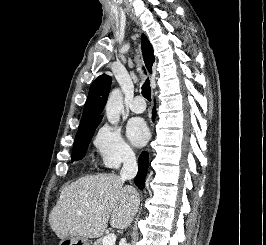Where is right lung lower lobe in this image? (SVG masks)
I'll list each match as a JSON object with an SVG mask.
<instances>
[{
  "instance_id": "right-lung-lower-lobe-1",
  "label": "right lung lower lobe",
  "mask_w": 266,
  "mask_h": 245,
  "mask_svg": "<svg viewBox=\"0 0 266 245\" xmlns=\"http://www.w3.org/2000/svg\"><path fill=\"white\" fill-rule=\"evenodd\" d=\"M153 115L155 116V111L153 112ZM138 165H139V170H138V174L135 178V184L140 189H143L145 177H146L147 169H148V154H147V152H142V154L140 155L139 160H138Z\"/></svg>"
}]
</instances>
